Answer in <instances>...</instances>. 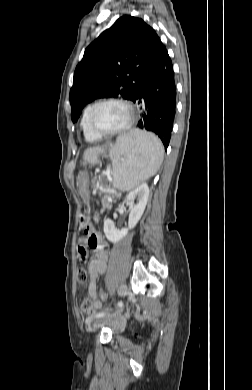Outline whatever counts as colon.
I'll use <instances>...</instances> for the list:
<instances>
[{"label":"colon","mask_w":252,"mask_h":390,"mask_svg":"<svg viewBox=\"0 0 252 390\" xmlns=\"http://www.w3.org/2000/svg\"><path fill=\"white\" fill-rule=\"evenodd\" d=\"M97 219V217H95ZM77 280L81 285H86L89 280V273L85 267H79L77 271ZM104 297V294H102ZM80 310L84 313H92L94 311L92 300L88 297L84 298L80 303Z\"/></svg>","instance_id":"5ec220e1"}]
</instances>
